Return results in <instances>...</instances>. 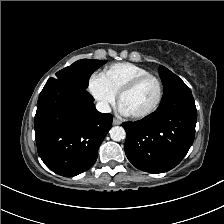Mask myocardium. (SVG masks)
<instances>
[{"label":"myocardium","instance_id":"obj_1","mask_svg":"<svg viewBox=\"0 0 224 224\" xmlns=\"http://www.w3.org/2000/svg\"><path fill=\"white\" fill-rule=\"evenodd\" d=\"M147 79H153L157 83L158 96H157L154 104L148 110H146L144 112H141V113H138V114H131L130 117L133 118V119L146 118V117L152 115L153 113H155L158 110V108L161 105L163 95H164V87H163V83H162L161 79L158 76L150 74V73L145 74V75H141V76H137V77L133 78L132 80H130L129 82H127L124 86H122L121 89L117 93V99H118V102L120 103V100H121L123 95L132 91L141 82H143Z\"/></svg>","mask_w":224,"mask_h":224}]
</instances>
